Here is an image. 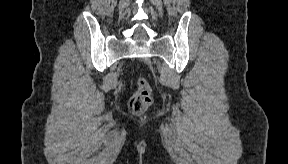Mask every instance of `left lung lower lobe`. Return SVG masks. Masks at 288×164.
<instances>
[{"label":"left lung lower lobe","instance_id":"0a47b994","mask_svg":"<svg viewBox=\"0 0 288 164\" xmlns=\"http://www.w3.org/2000/svg\"><path fill=\"white\" fill-rule=\"evenodd\" d=\"M254 87L250 91L251 96L257 101H262L264 98V90L267 85V78L262 72H253Z\"/></svg>","mask_w":288,"mask_h":164}]
</instances>
